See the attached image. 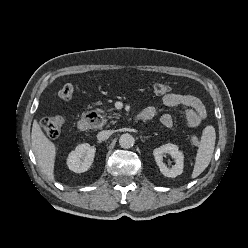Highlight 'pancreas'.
<instances>
[{"mask_svg": "<svg viewBox=\"0 0 248 248\" xmlns=\"http://www.w3.org/2000/svg\"><path fill=\"white\" fill-rule=\"evenodd\" d=\"M116 116H117V114L113 113V116L111 115V116H109V118L116 117ZM106 121H107V119H106V116L104 115L103 119H102V122H101V125H104L106 123Z\"/></svg>", "mask_w": 248, "mask_h": 248, "instance_id": "cf45deb5", "label": "pancreas"}]
</instances>
